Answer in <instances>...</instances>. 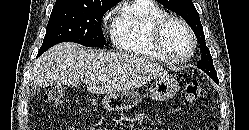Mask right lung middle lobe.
Returning a JSON list of instances; mask_svg holds the SVG:
<instances>
[{"label":"right lung middle lobe","instance_id":"right-lung-middle-lobe-1","mask_svg":"<svg viewBox=\"0 0 249 130\" xmlns=\"http://www.w3.org/2000/svg\"><path fill=\"white\" fill-rule=\"evenodd\" d=\"M109 7L97 9L68 5L54 6L38 56L61 42H75L86 47H103L106 44L101 19Z\"/></svg>","mask_w":249,"mask_h":130}]
</instances>
